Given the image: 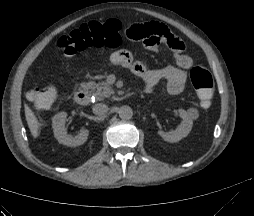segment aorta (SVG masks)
I'll return each instance as SVG.
<instances>
[{
	"label": "aorta",
	"mask_w": 254,
	"mask_h": 216,
	"mask_svg": "<svg viewBox=\"0 0 254 216\" xmlns=\"http://www.w3.org/2000/svg\"><path fill=\"white\" fill-rule=\"evenodd\" d=\"M118 114L122 120H129L133 116V110L130 106L125 105L119 108Z\"/></svg>",
	"instance_id": "1"
}]
</instances>
